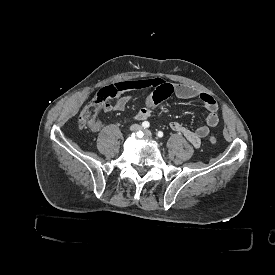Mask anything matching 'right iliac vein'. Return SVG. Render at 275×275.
I'll use <instances>...</instances> for the list:
<instances>
[{
	"mask_svg": "<svg viewBox=\"0 0 275 275\" xmlns=\"http://www.w3.org/2000/svg\"><path fill=\"white\" fill-rule=\"evenodd\" d=\"M142 127L138 124H133L131 127H130V130L131 131H137V130H141Z\"/></svg>",
	"mask_w": 275,
	"mask_h": 275,
	"instance_id": "obj_1",
	"label": "right iliac vein"
}]
</instances>
